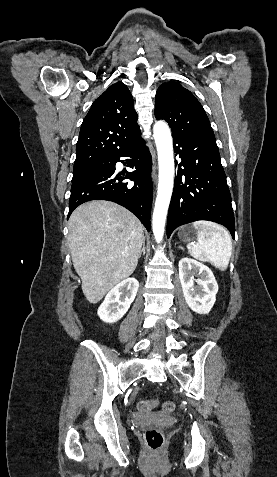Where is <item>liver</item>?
Masks as SVG:
<instances>
[{
  "mask_svg": "<svg viewBox=\"0 0 277 477\" xmlns=\"http://www.w3.org/2000/svg\"><path fill=\"white\" fill-rule=\"evenodd\" d=\"M68 244L86 299L95 304L135 270L144 239L143 225L110 201L84 203L71 214Z\"/></svg>",
  "mask_w": 277,
  "mask_h": 477,
  "instance_id": "liver-1",
  "label": "liver"
}]
</instances>
